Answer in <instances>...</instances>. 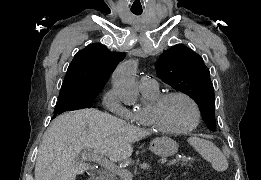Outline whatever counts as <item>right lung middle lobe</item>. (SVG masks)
<instances>
[{
	"label": "right lung middle lobe",
	"instance_id": "obj_1",
	"mask_svg": "<svg viewBox=\"0 0 261 180\" xmlns=\"http://www.w3.org/2000/svg\"><path fill=\"white\" fill-rule=\"evenodd\" d=\"M101 90L84 87L61 88L54 117L64 111L90 108Z\"/></svg>",
	"mask_w": 261,
	"mask_h": 180
}]
</instances>
